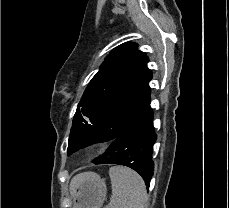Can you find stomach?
Returning <instances> with one entry per match:
<instances>
[{"label": "stomach", "mask_w": 229, "mask_h": 208, "mask_svg": "<svg viewBox=\"0 0 229 208\" xmlns=\"http://www.w3.org/2000/svg\"><path fill=\"white\" fill-rule=\"evenodd\" d=\"M107 190L104 180L96 176L93 180H87L79 184L72 192L74 208H102Z\"/></svg>", "instance_id": "obj_1"}]
</instances>
